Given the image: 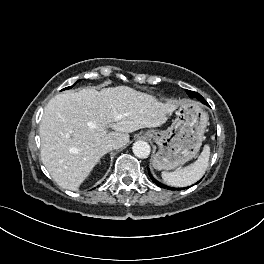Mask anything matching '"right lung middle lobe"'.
Instances as JSON below:
<instances>
[{"label":"right lung middle lobe","instance_id":"obj_1","mask_svg":"<svg viewBox=\"0 0 264 264\" xmlns=\"http://www.w3.org/2000/svg\"><path fill=\"white\" fill-rule=\"evenodd\" d=\"M69 88H71V86H70V87H67V88H65V89H69ZM65 89H63V90H65Z\"/></svg>","mask_w":264,"mask_h":264}]
</instances>
